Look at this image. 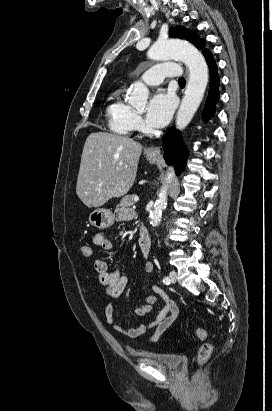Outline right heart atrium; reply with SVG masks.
Listing matches in <instances>:
<instances>
[{"instance_id": "1", "label": "right heart atrium", "mask_w": 272, "mask_h": 411, "mask_svg": "<svg viewBox=\"0 0 272 411\" xmlns=\"http://www.w3.org/2000/svg\"><path fill=\"white\" fill-rule=\"evenodd\" d=\"M131 123H132V128L133 129H140L142 127V119L139 114L136 112L132 113L131 116Z\"/></svg>"}]
</instances>
